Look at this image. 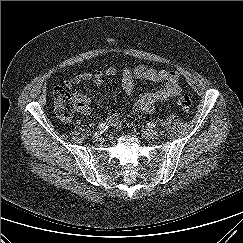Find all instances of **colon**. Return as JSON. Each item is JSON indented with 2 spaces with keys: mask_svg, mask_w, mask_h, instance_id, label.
Masks as SVG:
<instances>
[{
  "mask_svg": "<svg viewBox=\"0 0 243 243\" xmlns=\"http://www.w3.org/2000/svg\"><path fill=\"white\" fill-rule=\"evenodd\" d=\"M177 105L187 112L192 107V99L188 95H181L177 99ZM77 107L76 99L68 90L63 87L54 89V110L60 119L69 120Z\"/></svg>",
  "mask_w": 243,
  "mask_h": 243,
  "instance_id": "1",
  "label": "colon"
}]
</instances>
